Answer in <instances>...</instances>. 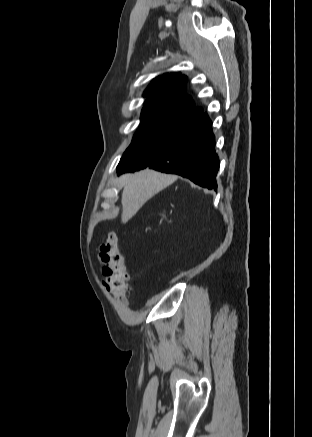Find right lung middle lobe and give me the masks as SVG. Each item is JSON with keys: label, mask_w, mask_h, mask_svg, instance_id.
I'll return each mask as SVG.
<instances>
[{"label": "right lung middle lobe", "mask_w": 312, "mask_h": 437, "mask_svg": "<svg viewBox=\"0 0 312 437\" xmlns=\"http://www.w3.org/2000/svg\"><path fill=\"white\" fill-rule=\"evenodd\" d=\"M201 115L165 106L144 107L141 124L124 155L158 147L192 126Z\"/></svg>", "instance_id": "dd1d6c3e"}]
</instances>
